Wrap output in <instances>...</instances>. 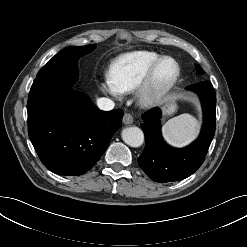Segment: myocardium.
I'll return each instance as SVG.
<instances>
[{
  "label": "myocardium",
  "mask_w": 247,
  "mask_h": 247,
  "mask_svg": "<svg viewBox=\"0 0 247 247\" xmlns=\"http://www.w3.org/2000/svg\"><path fill=\"white\" fill-rule=\"evenodd\" d=\"M164 61H171L175 66L173 76L164 84L155 81L156 73ZM181 73L179 63L170 56L160 57L148 70L142 81L136 87V101L141 107H150L161 101L177 83Z\"/></svg>",
  "instance_id": "f54148a6"
}]
</instances>
